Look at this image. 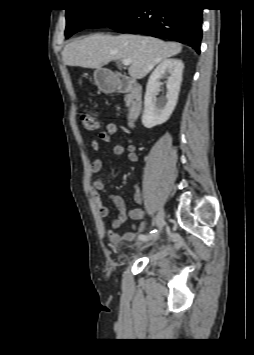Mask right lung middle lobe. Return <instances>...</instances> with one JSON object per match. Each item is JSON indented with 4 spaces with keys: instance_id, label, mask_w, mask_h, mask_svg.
I'll return each mask as SVG.
<instances>
[{
    "instance_id": "obj_1",
    "label": "right lung middle lobe",
    "mask_w": 254,
    "mask_h": 355,
    "mask_svg": "<svg viewBox=\"0 0 254 355\" xmlns=\"http://www.w3.org/2000/svg\"><path fill=\"white\" fill-rule=\"evenodd\" d=\"M143 0H97L85 8L66 10V38L86 28H101L110 25L125 9Z\"/></svg>"
}]
</instances>
